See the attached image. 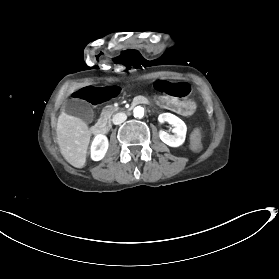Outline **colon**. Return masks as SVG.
<instances>
[{"label":"colon","mask_w":279,"mask_h":279,"mask_svg":"<svg viewBox=\"0 0 279 279\" xmlns=\"http://www.w3.org/2000/svg\"><path fill=\"white\" fill-rule=\"evenodd\" d=\"M193 138L195 141H198L200 139V133L198 131L193 133Z\"/></svg>","instance_id":"obj_1"}]
</instances>
